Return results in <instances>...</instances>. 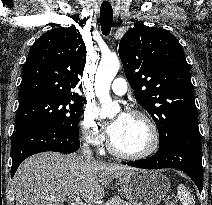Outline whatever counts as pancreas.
<instances>
[{"label":"pancreas","mask_w":212,"mask_h":205,"mask_svg":"<svg viewBox=\"0 0 212 205\" xmlns=\"http://www.w3.org/2000/svg\"><path fill=\"white\" fill-rule=\"evenodd\" d=\"M105 205H132L131 203H128L121 198L115 196L111 199H109Z\"/></svg>","instance_id":"1"}]
</instances>
